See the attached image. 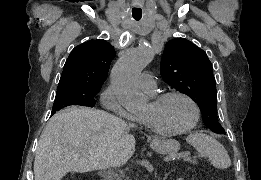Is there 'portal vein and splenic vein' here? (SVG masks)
<instances>
[{"mask_svg": "<svg viewBox=\"0 0 261 180\" xmlns=\"http://www.w3.org/2000/svg\"><path fill=\"white\" fill-rule=\"evenodd\" d=\"M178 155H183V160H180V162L183 161H190L192 154H189V152H182V154H178ZM120 174H123V170H119Z\"/></svg>", "mask_w": 261, "mask_h": 180, "instance_id": "obj_1", "label": "portal vein and splenic vein"}]
</instances>
